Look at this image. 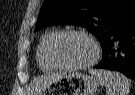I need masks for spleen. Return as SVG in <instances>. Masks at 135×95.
Instances as JSON below:
<instances>
[{"label": "spleen", "mask_w": 135, "mask_h": 95, "mask_svg": "<svg viewBox=\"0 0 135 95\" xmlns=\"http://www.w3.org/2000/svg\"><path fill=\"white\" fill-rule=\"evenodd\" d=\"M89 73L98 78L107 95H128L131 82L124 75L102 69H90Z\"/></svg>", "instance_id": "3e777b00"}]
</instances>
